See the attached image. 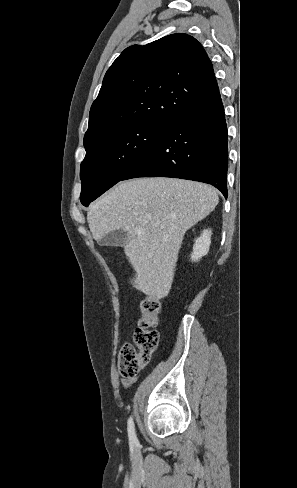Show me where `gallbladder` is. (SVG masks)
I'll return each mask as SVG.
<instances>
[{"instance_id": "bac80fb5", "label": "gallbladder", "mask_w": 297, "mask_h": 488, "mask_svg": "<svg viewBox=\"0 0 297 488\" xmlns=\"http://www.w3.org/2000/svg\"><path fill=\"white\" fill-rule=\"evenodd\" d=\"M127 233L124 230H113L106 234L100 241L101 245L119 246L126 242Z\"/></svg>"}]
</instances>
